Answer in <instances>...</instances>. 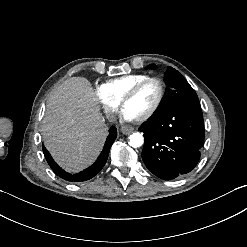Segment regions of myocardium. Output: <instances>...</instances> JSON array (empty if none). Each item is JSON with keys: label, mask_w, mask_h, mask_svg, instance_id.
I'll list each match as a JSON object with an SVG mask.
<instances>
[{"label": "myocardium", "mask_w": 247, "mask_h": 247, "mask_svg": "<svg viewBox=\"0 0 247 247\" xmlns=\"http://www.w3.org/2000/svg\"><path fill=\"white\" fill-rule=\"evenodd\" d=\"M148 82H155L159 86V97L153 109L149 111L146 115L138 119L140 122H146V121L151 120L159 112L160 108L162 107V104L164 102L165 95H166V87L162 79L158 77H146L142 79L141 81L136 83L131 88V90L122 97V99L119 102V106L123 108L128 102H130L131 100L135 98V96L137 95L141 87Z\"/></svg>", "instance_id": "obj_1"}]
</instances>
